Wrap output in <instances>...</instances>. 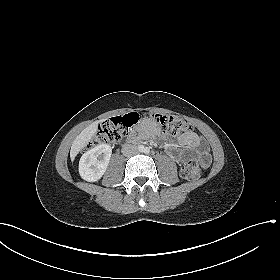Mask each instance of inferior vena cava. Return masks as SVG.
<instances>
[{
    "label": "inferior vena cava",
    "instance_id": "602c4592",
    "mask_svg": "<svg viewBox=\"0 0 280 280\" xmlns=\"http://www.w3.org/2000/svg\"><path fill=\"white\" fill-rule=\"evenodd\" d=\"M138 153V149L134 145H125L122 148V154L125 156H132Z\"/></svg>",
    "mask_w": 280,
    "mask_h": 280
}]
</instances>
